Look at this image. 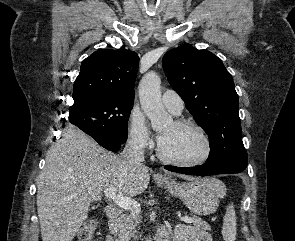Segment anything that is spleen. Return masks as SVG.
I'll list each match as a JSON object with an SVG mask.
<instances>
[{
    "mask_svg": "<svg viewBox=\"0 0 295 241\" xmlns=\"http://www.w3.org/2000/svg\"><path fill=\"white\" fill-rule=\"evenodd\" d=\"M236 213L232 204L227 207L223 218L222 236L225 241L236 240Z\"/></svg>",
    "mask_w": 295,
    "mask_h": 241,
    "instance_id": "obj_1",
    "label": "spleen"
}]
</instances>
